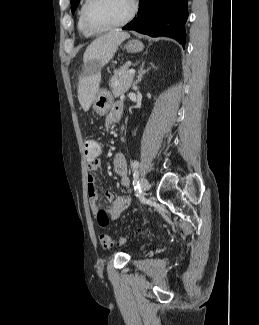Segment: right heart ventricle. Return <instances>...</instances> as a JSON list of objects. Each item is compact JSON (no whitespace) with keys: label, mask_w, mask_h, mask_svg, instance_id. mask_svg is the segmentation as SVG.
<instances>
[{"label":"right heart ventricle","mask_w":259,"mask_h":325,"mask_svg":"<svg viewBox=\"0 0 259 325\" xmlns=\"http://www.w3.org/2000/svg\"><path fill=\"white\" fill-rule=\"evenodd\" d=\"M86 3V0H82L80 6H79V10H78V22H77V27H78V30L85 36H93L95 35V33H92L90 31H88L84 25H83V22H82V10H83V7Z\"/></svg>","instance_id":"obj_1"}]
</instances>
